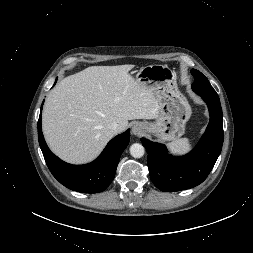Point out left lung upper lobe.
I'll use <instances>...</instances> for the list:
<instances>
[{
    "instance_id": "left-lung-upper-lobe-1",
    "label": "left lung upper lobe",
    "mask_w": 253,
    "mask_h": 253,
    "mask_svg": "<svg viewBox=\"0 0 253 253\" xmlns=\"http://www.w3.org/2000/svg\"><path fill=\"white\" fill-rule=\"evenodd\" d=\"M192 75L194 76V82L192 89L199 95H206L210 97H218L216 91L213 89L208 79L198 70L192 69Z\"/></svg>"
}]
</instances>
